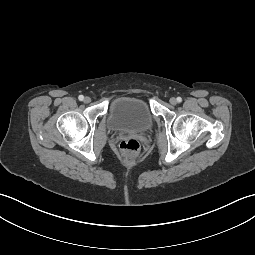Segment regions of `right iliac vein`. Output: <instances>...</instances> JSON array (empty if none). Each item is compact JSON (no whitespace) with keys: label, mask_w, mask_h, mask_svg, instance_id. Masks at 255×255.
Masks as SVG:
<instances>
[{"label":"right iliac vein","mask_w":255,"mask_h":255,"mask_svg":"<svg viewBox=\"0 0 255 255\" xmlns=\"http://www.w3.org/2000/svg\"><path fill=\"white\" fill-rule=\"evenodd\" d=\"M84 102L85 103H90L91 102V98L90 97H85L84 98Z\"/></svg>","instance_id":"63e3f726"}]
</instances>
